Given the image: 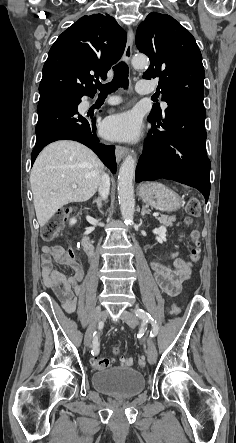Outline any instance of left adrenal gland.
<instances>
[{
    "label": "left adrenal gland",
    "mask_w": 236,
    "mask_h": 443,
    "mask_svg": "<svg viewBox=\"0 0 236 443\" xmlns=\"http://www.w3.org/2000/svg\"><path fill=\"white\" fill-rule=\"evenodd\" d=\"M146 214H150V212L148 210L145 209V207H142V211H141V216H145Z\"/></svg>",
    "instance_id": "a2214340"
}]
</instances>
